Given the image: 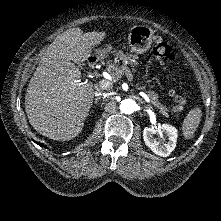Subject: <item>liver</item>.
<instances>
[{"mask_svg":"<svg viewBox=\"0 0 221 221\" xmlns=\"http://www.w3.org/2000/svg\"><path fill=\"white\" fill-rule=\"evenodd\" d=\"M105 32L84 33L71 28L48 47L31 78L25 96L30 124L53 140H71L79 135L93 103V85L80 82L75 63L86 61Z\"/></svg>","mask_w":221,"mask_h":221,"instance_id":"liver-1","label":"liver"}]
</instances>
